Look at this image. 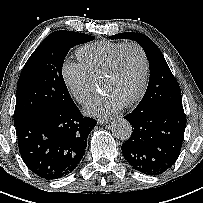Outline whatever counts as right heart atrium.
Masks as SVG:
<instances>
[{
  "label": "right heart atrium",
  "instance_id": "right-heart-atrium-1",
  "mask_svg": "<svg viewBox=\"0 0 203 203\" xmlns=\"http://www.w3.org/2000/svg\"><path fill=\"white\" fill-rule=\"evenodd\" d=\"M62 76L69 92L80 104L85 103L95 91L96 80L79 62L66 60Z\"/></svg>",
  "mask_w": 203,
  "mask_h": 203
}]
</instances>
